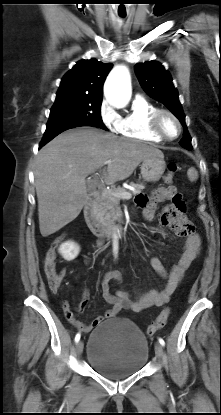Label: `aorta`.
<instances>
[{"instance_id":"aorta-1","label":"aorta","mask_w":221,"mask_h":415,"mask_svg":"<svg viewBox=\"0 0 221 415\" xmlns=\"http://www.w3.org/2000/svg\"><path fill=\"white\" fill-rule=\"evenodd\" d=\"M131 79L126 66L119 65L113 68L104 85V95L108 103L116 108H124L131 99ZM114 250L118 249L117 236H114Z\"/></svg>"}]
</instances>
